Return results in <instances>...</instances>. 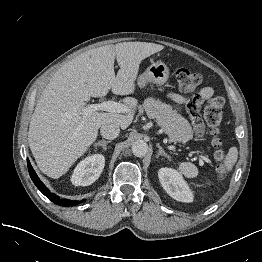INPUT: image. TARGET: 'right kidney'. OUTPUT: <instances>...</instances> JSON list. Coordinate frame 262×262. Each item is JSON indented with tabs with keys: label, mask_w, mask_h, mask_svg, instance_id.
Returning a JSON list of instances; mask_svg holds the SVG:
<instances>
[{
	"label": "right kidney",
	"mask_w": 262,
	"mask_h": 262,
	"mask_svg": "<svg viewBox=\"0 0 262 262\" xmlns=\"http://www.w3.org/2000/svg\"><path fill=\"white\" fill-rule=\"evenodd\" d=\"M105 166V158L94 154L83 159L74 169L71 182L75 186H88L95 182Z\"/></svg>",
	"instance_id": "1"
}]
</instances>
